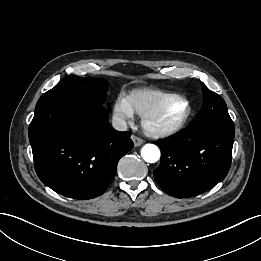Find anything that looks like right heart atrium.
Segmentation results:
<instances>
[{
  "label": "right heart atrium",
  "mask_w": 261,
  "mask_h": 261,
  "mask_svg": "<svg viewBox=\"0 0 261 261\" xmlns=\"http://www.w3.org/2000/svg\"><path fill=\"white\" fill-rule=\"evenodd\" d=\"M113 115L119 124H125L133 119L134 111L130 106L128 97L118 95L113 105Z\"/></svg>",
  "instance_id": "obj_1"
}]
</instances>
